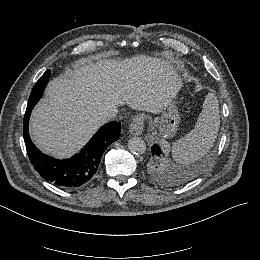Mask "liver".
<instances>
[{
  "label": "liver",
  "instance_id": "liver-1",
  "mask_svg": "<svg viewBox=\"0 0 260 260\" xmlns=\"http://www.w3.org/2000/svg\"><path fill=\"white\" fill-rule=\"evenodd\" d=\"M183 78L169 62L146 55L79 59L73 71L51 80L31 113L29 133L34 144L58 159L70 158L111 118L117 100L134 110L159 113L176 98Z\"/></svg>",
  "mask_w": 260,
  "mask_h": 260
}]
</instances>
